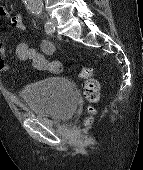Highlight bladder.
Here are the masks:
<instances>
[{
  "mask_svg": "<svg viewBox=\"0 0 143 170\" xmlns=\"http://www.w3.org/2000/svg\"><path fill=\"white\" fill-rule=\"evenodd\" d=\"M19 94L33 116L53 121L70 118L78 105L77 89L72 82L59 76H48L24 86Z\"/></svg>",
  "mask_w": 143,
  "mask_h": 170,
  "instance_id": "31cf9c89",
  "label": "bladder"
}]
</instances>
